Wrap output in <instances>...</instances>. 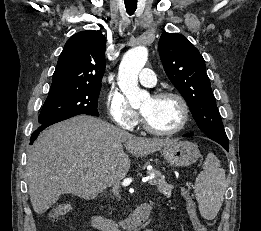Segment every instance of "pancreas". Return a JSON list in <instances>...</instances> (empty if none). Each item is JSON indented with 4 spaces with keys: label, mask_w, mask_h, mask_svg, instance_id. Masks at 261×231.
I'll return each instance as SVG.
<instances>
[{
    "label": "pancreas",
    "mask_w": 261,
    "mask_h": 231,
    "mask_svg": "<svg viewBox=\"0 0 261 231\" xmlns=\"http://www.w3.org/2000/svg\"><path fill=\"white\" fill-rule=\"evenodd\" d=\"M149 175H154L155 178L153 179L154 184L157 186V190L162 193L164 196L166 197H170L172 190L174 189V186L168 184L164 179L161 178V172L156 170V169H152L151 171L148 172Z\"/></svg>",
    "instance_id": "cf45deb5"
}]
</instances>
